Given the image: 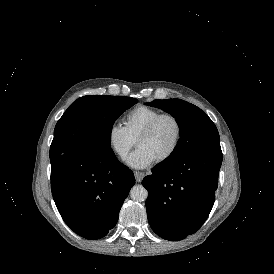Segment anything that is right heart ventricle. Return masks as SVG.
Here are the masks:
<instances>
[{"mask_svg":"<svg viewBox=\"0 0 274 274\" xmlns=\"http://www.w3.org/2000/svg\"><path fill=\"white\" fill-rule=\"evenodd\" d=\"M159 114L154 108L140 106L123 117L126 132L135 140L137 135Z\"/></svg>","mask_w":274,"mask_h":274,"instance_id":"right-heart-ventricle-1","label":"right heart ventricle"}]
</instances>
